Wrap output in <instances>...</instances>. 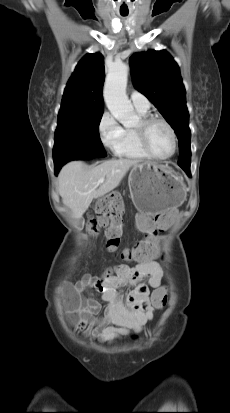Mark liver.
Here are the masks:
<instances>
[{"instance_id": "6515ba94", "label": "liver", "mask_w": 230, "mask_h": 413, "mask_svg": "<svg viewBox=\"0 0 230 413\" xmlns=\"http://www.w3.org/2000/svg\"><path fill=\"white\" fill-rule=\"evenodd\" d=\"M139 161L112 159L95 167H88L81 161L67 163L58 175V191L62 202L72 211L75 219H80L93 199L115 189L129 169ZM104 182L98 184L100 179Z\"/></svg>"}]
</instances>
